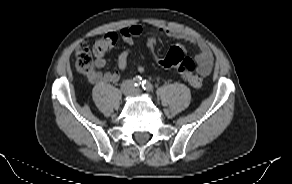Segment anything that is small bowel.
I'll list each match as a JSON object with an SVG mask.
<instances>
[{
    "instance_id": "c3829d8e",
    "label": "small bowel",
    "mask_w": 292,
    "mask_h": 184,
    "mask_svg": "<svg viewBox=\"0 0 292 184\" xmlns=\"http://www.w3.org/2000/svg\"><path fill=\"white\" fill-rule=\"evenodd\" d=\"M142 32L143 28L141 25L133 24L129 27L121 29L120 35L125 43L132 45L134 43V39L140 36ZM165 33L170 37L182 39L195 45L198 50L195 56L198 64L197 68L198 74L202 76H207L211 73L213 67V56L210 49L204 42L186 33L175 31H165ZM131 54L132 51L130 49L122 51L117 58V69L108 72H101L99 70L105 66L106 60L103 55L97 56L95 59V69L87 73L89 81L93 84L114 83L119 81L121 73L124 72L127 68L128 59ZM137 70L143 73L145 71V67L139 63L137 65Z\"/></svg>"
}]
</instances>
